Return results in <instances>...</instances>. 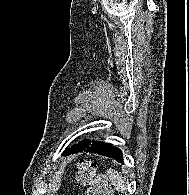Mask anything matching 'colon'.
I'll list each match as a JSON object with an SVG mask.
<instances>
[{
  "label": "colon",
  "mask_w": 189,
  "mask_h": 195,
  "mask_svg": "<svg viewBox=\"0 0 189 195\" xmlns=\"http://www.w3.org/2000/svg\"><path fill=\"white\" fill-rule=\"evenodd\" d=\"M78 180L81 183L90 185L88 195H106L107 181L102 177H95L93 175V168L89 165L87 160H82L78 164Z\"/></svg>",
  "instance_id": "5ec220e1"
}]
</instances>
